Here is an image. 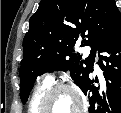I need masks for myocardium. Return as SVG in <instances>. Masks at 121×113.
Instances as JSON below:
<instances>
[{"label":"myocardium","mask_w":121,"mask_h":113,"mask_svg":"<svg viewBox=\"0 0 121 113\" xmlns=\"http://www.w3.org/2000/svg\"><path fill=\"white\" fill-rule=\"evenodd\" d=\"M60 91H67L73 95V97L76 100V105L73 110L83 109L84 100L79 90L75 86L64 82L53 83L43 91L41 99L39 101L38 109H48V108H45L44 106L47 105L49 99L52 97L53 94ZM73 113H76V112H73Z\"/></svg>","instance_id":"obj_1"}]
</instances>
